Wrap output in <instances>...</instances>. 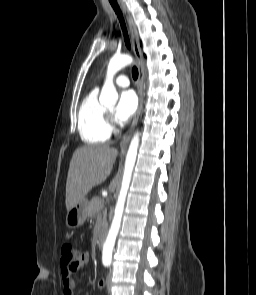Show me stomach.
<instances>
[{
  "mask_svg": "<svg viewBox=\"0 0 256 295\" xmlns=\"http://www.w3.org/2000/svg\"><path fill=\"white\" fill-rule=\"evenodd\" d=\"M87 207L88 201L86 199H83L67 212L66 226L69 229L78 228L85 222L88 216Z\"/></svg>",
  "mask_w": 256,
  "mask_h": 295,
  "instance_id": "0dacf381",
  "label": "stomach"
}]
</instances>
